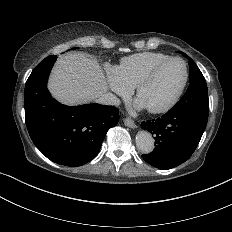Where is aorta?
Returning <instances> with one entry per match:
<instances>
[{
	"label": "aorta",
	"mask_w": 232,
	"mask_h": 232,
	"mask_svg": "<svg viewBox=\"0 0 232 232\" xmlns=\"http://www.w3.org/2000/svg\"><path fill=\"white\" fill-rule=\"evenodd\" d=\"M136 146L143 154H148L154 149V139L147 131H139L136 135Z\"/></svg>",
	"instance_id": "aorta-1"
}]
</instances>
